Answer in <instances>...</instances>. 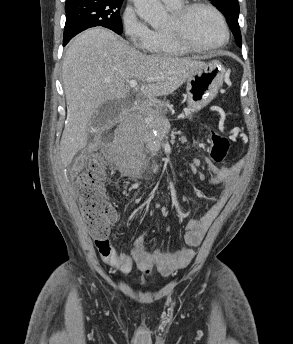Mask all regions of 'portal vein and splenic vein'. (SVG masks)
<instances>
[{
  "mask_svg": "<svg viewBox=\"0 0 293 344\" xmlns=\"http://www.w3.org/2000/svg\"><path fill=\"white\" fill-rule=\"evenodd\" d=\"M129 86L131 88H136L137 87V81L136 80H130L129 81Z\"/></svg>",
  "mask_w": 293,
  "mask_h": 344,
  "instance_id": "obj_1",
  "label": "portal vein and splenic vein"
}]
</instances>
